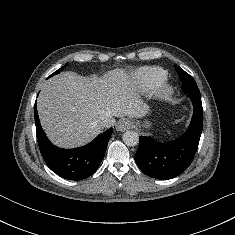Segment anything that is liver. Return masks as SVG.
Instances as JSON below:
<instances>
[{"label":"liver","instance_id":"liver-1","mask_svg":"<svg viewBox=\"0 0 235 235\" xmlns=\"http://www.w3.org/2000/svg\"><path fill=\"white\" fill-rule=\"evenodd\" d=\"M42 128L50 141L62 148L87 144L102 132L99 121L113 117L140 118L145 105L123 69L103 78L63 72L47 80L37 100ZM108 126V127H109Z\"/></svg>","mask_w":235,"mask_h":235}]
</instances>
